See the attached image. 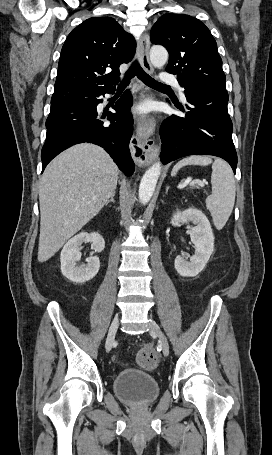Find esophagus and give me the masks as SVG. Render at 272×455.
Listing matches in <instances>:
<instances>
[{
	"label": "esophagus",
	"instance_id": "obj_1",
	"mask_svg": "<svg viewBox=\"0 0 272 455\" xmlns=\"http://www.w3.org/2000/svg\"><path fill=\"white\" fill-rule=\"evenodd\" d=\"M150 39L147 33H144L138 41V51L140 55V62L142 67L149 73H152L153 68L149 60ZM154 119H139L136 128V135L138 147H136V156L134 157L135 163L139 167L149 165L159 153V147L151 138L155 131ZM133 143H136L134 140Z\"/></svg>",
	"mask_w": 272,
	"mask_h": 455
}]
</instances>
